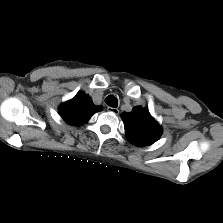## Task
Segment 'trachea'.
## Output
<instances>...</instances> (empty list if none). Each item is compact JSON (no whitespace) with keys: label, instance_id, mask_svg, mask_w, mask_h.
Returning <instances> with one entry per match:
<instances>
[{"label":"trachea","instance_id":"trachea-1","mask_svg":"<svg viewBox=\"0 0 223 223\" xmlns=\"http://www.w3.org/2000/svg\"><path fill=\"white\" fill-rule=\"evenodd\" d=\"M105 102L108 106L116 108L118 106V100L113 95H109L106 97Z\"/></svg>","mask_w":223,"mask_h":223}]
</instances>
